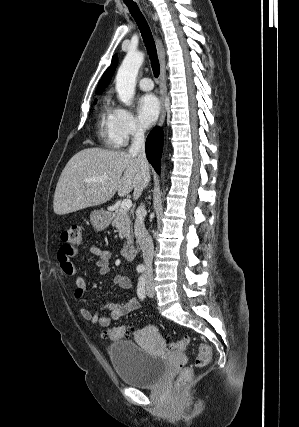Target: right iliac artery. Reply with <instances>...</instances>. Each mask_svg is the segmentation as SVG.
I'll use <instances>...</instances> for the list:
<instances>
[{
	"instance_id": "1",
	"label": "right iliac artery",
	"mask_w": 299,
	"mask_h": 427,
	"mask_svg": "<svg viewBox=\"0 0 299 427\" xmlns=\"http://www.w3.org/2000/svg\"><path fill=\"white\" fill-rule=\"evenodd\" d=\"M137 271H138L139 273L143 272V271H144V267H142V266H138V267H137Z\"/></svg>"
}]
</instances>
